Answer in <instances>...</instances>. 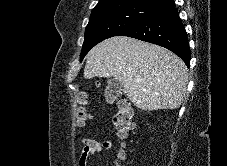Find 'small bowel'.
I'll use <instances>...</instances> for the list:
<instances>
[{"label":"small bowel","mask_w":227,"mask_h":166,"mask_svg":"<svg viewBox=\"0 0 227 166\" xmlns=\"http://www.w3.org/2000/svg\"><path fill=\"white\" fill-rule=\"evenodd\" d=\"M112 143L108 140L98 141L86 138L82 141L79 166H88L89 161L104 150H109Z\"/></svg>","instance_id":"obj_1"}]
</instances>
